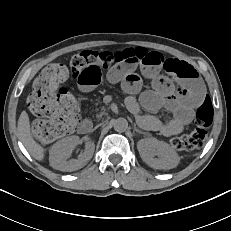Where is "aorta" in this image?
I'll return each mask as SVG.
<instances>
[{"label":"aorta","instance_id":"1","mask_svg":"<svg viewBox=\"0 0 231 231\" xmlns=\"http://www.w3.org/2000/svg\"><path fill=\"white\" fill-rule=\"evenodd\" d=\"M113 127L117 132H125L128 128V121L125 118H118L114 120Z\"/></svg>","mask_w":231,"mask_h":231}]
</instances>
